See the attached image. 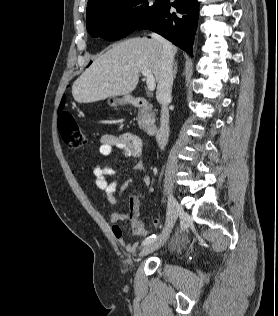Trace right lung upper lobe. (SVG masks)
<instances>
[{
    "mask_svg": "<svg viewBox=\"0 0 278 316\" xmlns=\"http://www.w3.org/2000/svg\"><path fill=\"white\" fill-rule=\"evenodd\" d=\"M107 1L110 0H88V4H87V9L86 11L88 12L90 9H92L93 7L100 5L102 3H105Z\"/></svg>",
    "mask_w": 278,
    "mask_h": 316,
    "instance_id": "1",
    "label": "right lung upper lobe"
}]
</instances>
